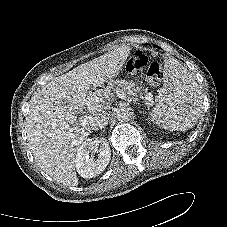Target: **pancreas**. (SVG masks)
<instances>
[{
  "label": "pancreas",
  "mask_w": 227,
  "mask_h": 227,
  "mask_svg": "<svg viewBox=\"0 0 227 227\" xmlns=\"http://www.w3.org/2000/svg\"><path fill=\"white\" fill-rule=\"evenodd\" d=\"M116 85V87L114 86ZM115 87V88H114ZM113 89L116 92L123 93L128 100H130V96L138 97L139 95L142 96L141 89L136 86L132 82H127L125 80L115 81L112 82L106 92H110Z\"/></svg>",
  "instance_id": "1"
}]
</instances>
